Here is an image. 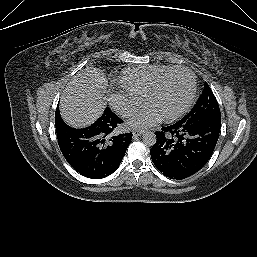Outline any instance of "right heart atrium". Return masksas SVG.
<instances>
[{"label":"right heart atrium","mask_w":257,"mask_h":257,"mask_svg":"<svg viewBox=\"0 0 257 257\" xmlns=\"http://www.w3.org/2000/svg\"><path fill=\"white\" fill-rule=\"evenodd\" d=\"M110 104L121 116H131L141 105V99L127 91L115 92L110 96Z\"/></svg>","instance_id":"obj_1"}]
</instances>
